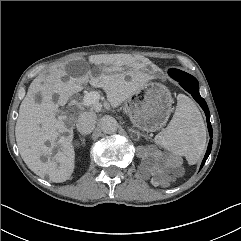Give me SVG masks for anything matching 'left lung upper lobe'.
Masks as SVG:
<instances>
[{"label": "left lung upper lobe", "mask_w": 241, "mask_h": 241, "mask_svg": "<svg viewBox=\"0 0 241 241\" xmlns=\"http://www.w3.org/2000/svg\"><path fill=\"white\" fill-rule=\"evenodd\" d=\"M177 69H171L170 71H176Z\"/></svg>", "instance_id": "1"}]
</instances>
